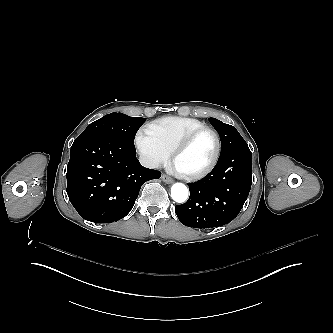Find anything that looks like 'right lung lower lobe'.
Masks as SVG:
<instances>
[{"mask_svg": "<svg viewBox=\"0 0 333 333\" xmlns=\"http://www.w3.org/2000/svg\"><path fill=\"white\" fill-rule=\"evenodd\" d=\"M67 194L86 220L111 223L133 208L142 184L160 171L143 167L135 148L94 133L76 138L67 165Z\"/></svg>", "mask_w": 333, "mask_h": 333, "instance_id": "right-lung-lower-lobe-1", "label": "right lung lower lobe"}]
</instances>
